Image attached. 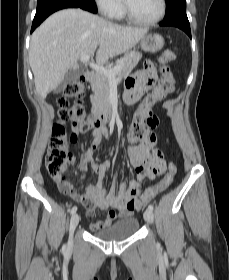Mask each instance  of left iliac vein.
Returning a JSON list of instances; mask_svg holds the SVG:
<instances>
[{"instance_id":"1","label":"left iliac vein","mask_w":229,"mask_h":280,"mask_svg":"<svg viewBox=\"0 0 229 280\" xmlns=\"http://www.w3.org/2000/svg\"><path fill=\"white\" fill-rule=\"evenodd\" d=\"M144 219L148 222V223H152L153 222V212L149 209H147L144 212Z\"/></svg>"}]
</instances>
